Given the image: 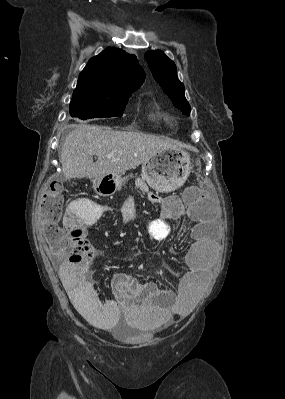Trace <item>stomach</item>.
I'll return each instance as SVG.
<instances>
[{
	"label": "stomach",
	"mask_w": 285,
	"mask_h": 399,
	"mask_svg": "<svg viewBox=\"0 0 285 399\" xmlns=\"http://www.w3.org/2000/svg\"><path fill=\"white\" fill-rule=\"evenodd\" d=\"M191 172L190 156L182 149H165L142 165V177L150 187L160 192L178 189ZM93 189L98 195L109 196L119 191L124 179L121 176L106 175L94 179Z\"/></svg>",
	"instance_id": "0dacf381"
}]
</instances>
